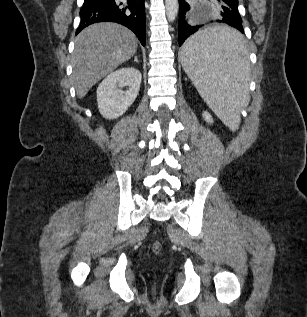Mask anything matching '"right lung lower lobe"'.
<instances>
[{
  "instance_id": "98d812e1",
  "label": "right lung lower lobe",
  "mask_w": 307,
  "mask_h": 317,
  "mask_svg": "<svg viewBox=\"0 0 307 317\" xmlns=\"http://www.w3.org/2000/svg\"><path fill=\"white\" fill-rule=\"evenodd\" d=\"M81 22L76 31L96 22L110 21L132 30L145 46L146 24L144 0H84L80 10Z\"/></svg>"
}]
</instances>
